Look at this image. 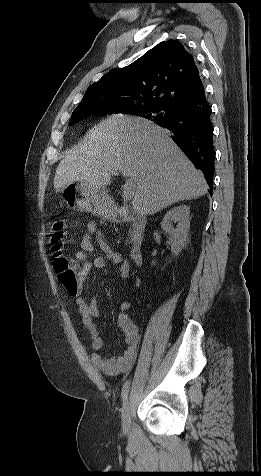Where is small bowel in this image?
I'll list each match as a JSON object with an SVG mask.
<instances>
[{
	"label": "small bowel",
	"mask_w": 261,
	"mask_h": 476,
	"mask_svg": "<svg viewBox=\"0 0 261 476\" xmlns=\"http://www.w3.org/2000/svg\"><path fill=\"white\" fill-rule=\"evenodd\" d=\"M94 244H96L101 253L90 258ZM81 249L76 252L74 262L79 276L77 290L68 293L75 298L79 309L81 320L85 328L88 330L91 338L93 353L91 354L92 364L99 371L107 375H117L129 371L136 359L138 345L141 335L138 326L128 316L127 311L131 308V302L124 300L119 305L118 325L123 332L124 342L127 347L120 356L105 357L102 351L105 347L104 340L99 336L94 319L100 316V310L95 298L87 300L84 297V285L93 268L103 269L110 262L117 265L121 278L127 279L131 273V265L128 260L124 259L118 252L113 250L105 241L101 232L93 222L87 224V233L80 240Z\"/></svg>",
	"instance_id": "1"
}]
</instances>
